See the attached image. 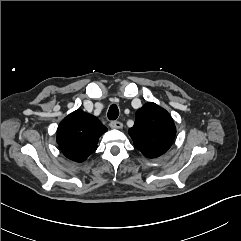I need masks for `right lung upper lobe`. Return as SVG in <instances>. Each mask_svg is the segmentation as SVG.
<instances>
[{"instance_id": "1", "label": "right lung upper lobe", "mask_w": 241, "mask_h": 241, "mask_svg": "<svg viewBox=\"0 0 241 241\" xmlns=\"http://www.w3.org/2000/svg\"><path fill=\"white\" fill-rule=\"evenodd\" d=\"M106 131L97 117L76 110L59 124L57 143L67 158L83 162L97 149L99 137Z\"/></svg>"}]
</instances>
